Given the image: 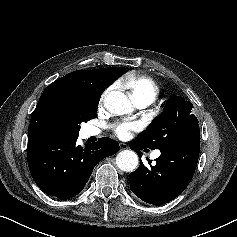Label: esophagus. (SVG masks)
<instances>
[{
  "instance_id": "obj_1",
  "label": "esophagus",
  "mask_w": 237,
  "mask_h": 237,
  "mask_svg": "<svg viewBox=\"0 0 237 237\" xmlns=\"http://www.w3.org/2000/svg\"><path fill=\"white\" fill-rule=\"evenodd\" d=\"M120 150L128 149V145L126 143H119Z\"/></svg>"
}]
</instances>
